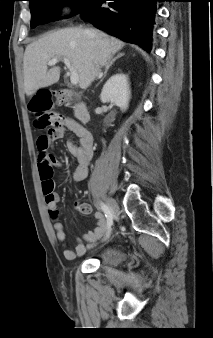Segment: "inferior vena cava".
Wrapping results in <instances>:
<instances>
[{"label": "inferior vena cava", "instance_id": "obj_1", "mask_svg": "<svg viewBox=\"0 0 213 338\" xmlns=\"http://www.w3.org/2000/svg\"><path fill=\"white\" fill-rule=\"evenodd\" d=\"M100 67L98 66L97 69H96V73H95V76L97 77H100Z\"/></svg>", "mask_w": 213, "mask_h": 338}]
</instances>
